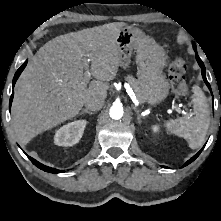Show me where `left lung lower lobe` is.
Returning <instances> with one entry per match:
<instances>
[{
  "label": "left lung lower lobe",
  "mask_w": 221,
  "mask_h": 221,
  "mask_svg": "<svg viewBox=\"0 0 221 221\" xmlns=\"http://www.w3.org/2000/svg\"><path fill=\"white\" fill-rule=\"evenodd\" d=\"M194 50H195V52H196V48H195V47H194ZM196 59H197V61H198V64H199L200 67H201L202 77H203V79H204L206 85L208 86V88L211 89L210 84L208 83V81H207V79H206L205 66H204L203 62L201 61V59L198 57V54H196ZM201 151H202V149H201L195 156H193L190 160H188V161L184 164V166H187L188 164H190L191 162H193V161L199 156V154L201 153Z\"/></svg>",
  "instance_id": "0a47b994"
}]
</instances>
